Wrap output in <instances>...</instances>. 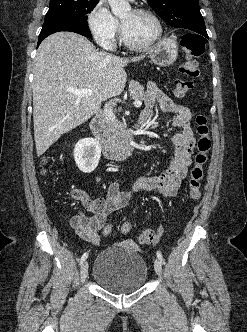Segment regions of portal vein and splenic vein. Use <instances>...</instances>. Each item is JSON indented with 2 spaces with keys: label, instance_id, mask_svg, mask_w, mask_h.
<instances>
[{
  "label": "portal vein and splenic vein",
  "instance_id": "obj_1",
  "mask_svg": "<svg viewBox=\"0 0 247 332\" xmlns=\"http://www.w3.org/2000/svg\"><path fill=\"white\" fill-rule=\"evenodd\" d=\"M70 92L81 97H89L92 95V90L90 89H72ZM133 104L135 107H140L142 102L140 100H135Z\"/></svg>",
  "mask_w": 247,
  "mask_h": 332
}]
</instances>
